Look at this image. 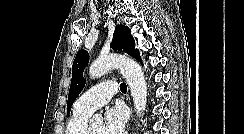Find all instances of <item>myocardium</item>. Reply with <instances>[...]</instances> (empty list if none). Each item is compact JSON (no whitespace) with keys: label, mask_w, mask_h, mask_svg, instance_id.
Listing matches in <instances>:
<instances>
[{"label":"myocardium","mask_w":244,"mask_h":134,"mask_svg":"<svg viewBox=\"0 0 244 134\" xmlns=\"http://www.w3.org/2000/svg\"><path fill=\"white\" fill-rule=\"evenodd\" d=\"M86 134H92L91 127L87 126Z\"/></svg>","instance_id":"myocardium-1"}]
</instances>
